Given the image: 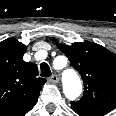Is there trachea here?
<instances>
[{
    "instance_id": "trachea-1",
    "label": "trachea",
    "mask_w": 116,
    "mask_h": 116,
    "mask_svg": "<svg viewBox=\"0 0 116 116\" xmlns=\"http://www.w3.org/2000/svg\"><path fill=\"white\" fill-rule=\"evenodd\" d=\"M40 69H41V76L42 77H50L52 75L50 67L48 66L47 63H45V62L41 63Z\"/></svg>"
}]
</instances>
